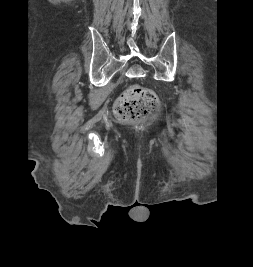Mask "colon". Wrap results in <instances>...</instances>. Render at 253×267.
Here are the masks:
<instances>
[{"label":"colon","mask_w":253,"mask_h":267,"mask_svg":"<svg viewBox=\"0 0 253 267\" xmlns=\"http://www.w3.org/2000/svg\"><path fill=\"white\" fill-rule=\"evenodd\" d=\"M158 107L159 100L154 91L134 85L117 99L115 113L120 120L136 121L151 116Z\"/></svg>","instance_id":"colon-1"}]
</instances>
